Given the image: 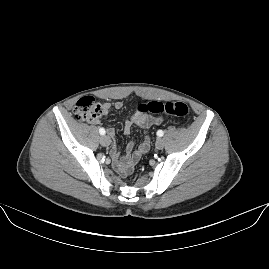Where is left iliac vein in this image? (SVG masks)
Instances as JSON below:
<instances>
[{"instance_id": "obj_1", "label": "left iliac vein", "mask_w": 269, "mask_h": 269, "mask_svg": "<svg viewBox=\"0 0 269 269\" xmlns=\"http://www.w3.org/2000/svg\"><path fill=\"white\" fill-rule=\"evenodd\" d=\"M164 147V140L162 138H158L156 141V148L157 149H162Z\"/></svg>"}]
</instances>
